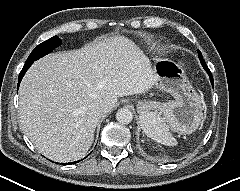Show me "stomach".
<instances>
[{
	"label": "stomach",
	"mask_w": 240,
	"mask_h": 191,
	"mask_svg": "<svg viewBox=\"0 0 240 191\" xmlns=\"http://www.w3.org/2000/svg\"><path fill=\"white\" fill-rule=\"evenodd\" d=\"M152 70L156 77L154 85L171 94L174 100L160 106L152 101H138L140 117L159 108L175 131L184 134L194 132L203 118L202 97L177 63L163 59L157 61Z\"/></svg>",
	"instance_id": "obj_1"
}]
</instances>
